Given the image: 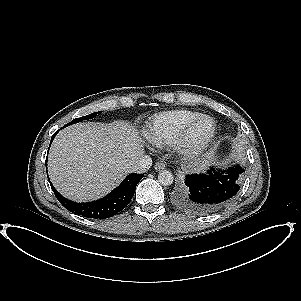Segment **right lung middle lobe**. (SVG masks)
Returning a JSON list of instances; mask_svg holds the SVG:
<instances>
[{
	"label": "right lung middle lobe",
	"instance_id": "dd1d6c3e",
	"mask_svg": "<svg viewBox=\"0 0 301 301\" xmlns=\"http://www.w3.org/2000/svg\"><path fill=\"white\" fill-rule=\"evenodd\" d=\"M99 113H101V111L95 112V113H92V114H89V115H86V116H83V117H80V118H76V119L72 120L71 123H68V124L65 125L64 127H66V126H68V125H70V124H73V123H77V122H79V121H81V120L92 119V118H94V117H95L97 114H99Z\"/></svg>",
	"mask_w": 301,
	"mask_h": 301
}]
</instances>
